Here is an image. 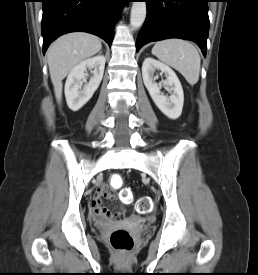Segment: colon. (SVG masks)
<instances>
[{"label": "colon", "mask_w": 258, "mask_h": 275, "mask_svg": "<svg viewBox=\"0 0 258 275\" xmlns=\"http://www.w3.org/2000/svg\"><path fill=\"white\" fill-rule=\"evenodd\" d=\"M123 184V178L120 175H113L111 185L114 188H119ZM120 199L125 202H131L132 193L129 189H122L119 194ZM137 212L146 214L152 209V202L148 197H142L137 204ZM114 219H119V213L112 214ZM110 243L116 250L122 252H130L134 247V239L132 235L125 229H117L110 235Z\"/></svg>", "instance_id": "5ec220e1"}]
</instances>
